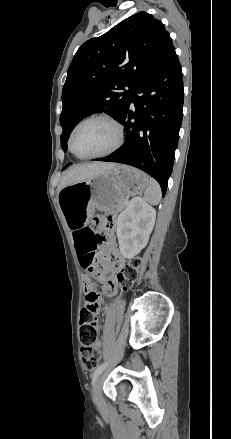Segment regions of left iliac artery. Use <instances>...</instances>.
Instances as JSON below:
<instances>
[{
  "label": "left iliac artery",
  "instance_id": "1",
  "mask_svg": "<svg viewBox=\"0 0 231 439\" xmlns=\"http://www.w3.org/2000/svg\"><path fill=\"white\" fill-rule=\"evenodd\" d=\"M108 362L101 364L93 373L92 376V385L95 384L97 377L103 372V370L107 367Z\"/></svg>",
  "mask_w": 231,
  "mask_h": 439
}]
</instances>
